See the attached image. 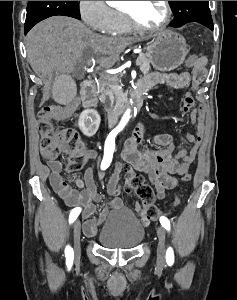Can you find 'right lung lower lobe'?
<instances>
[{"label":"right lung lower lobe","mask_w":237,"mask_h":300,"mask_svg":"<svg viewBox=\"0 0 237 300\" xmlns=\"http://www.w3.org/2000/svg\"><path fill=\"white\" fill-rule=\"evenodd\" d=\"M33 26H25L24 27V32H25V34L32 28Z\"/></svg>","instance_id":"obj_1"}]
</instances>
